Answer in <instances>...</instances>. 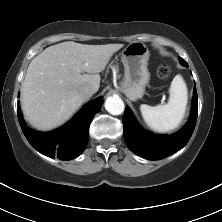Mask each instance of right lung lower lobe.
<instances>
[{
  "mask_svg": "<svg viewBox=\"0 0 222 222\" xmlns=\"http://www.w3.org/2000/svg\"><path fill=\"white\" fill-rule=\"evenodd\" d=\"M101 104V98L87 103L69 123L48 133H39L28 128L19 106L17 114L25 137L38 152L51 158L71 160L85 150L90 123L94 114L100 110Z\"/></svg>",
  "mask_w": 222,
  "mask_h": 222,
  "instance_id": "98d812e1",
  "label": "right lung lower lobe"
}]
</instances>
